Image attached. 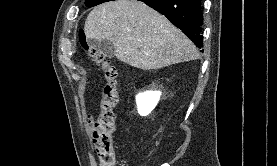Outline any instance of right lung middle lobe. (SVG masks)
Returning <instances> with one entry per match:
<instances>
[{
	"label": "right lung middle lobe",
	"instance_id": "right-lung-middle-lobe-1",
	"mask_svg": "<svg viewBox=\"0 0 277 166\" xmlns=\"http://www.w3.org/2000/svg\"><path fill=\"white\" fill-rule=\"evenodd\" d=\"M107 1H111V0H87L85 5L90 8V7H93V6H96L98 4H101V3H104V2H107Z\"/></svg>",
	"mask_w": 277,
	"mask_h": 166
}]
</instances>
